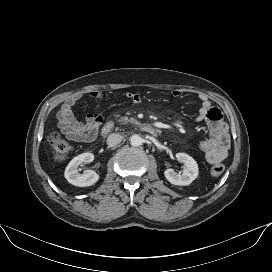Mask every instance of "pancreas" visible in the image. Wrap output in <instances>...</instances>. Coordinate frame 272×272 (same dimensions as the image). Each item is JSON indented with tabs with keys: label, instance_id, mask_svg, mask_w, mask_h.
Masks as SVG:
<instances>
[{
	"label": "pancreas",
	"instance_id": "cf45deb5",
	"mask_svg": "<svg viewBox=\"0 0 272 272\" xmlns=\"http://www.w3.org/2000/svg\"><path fill=\"white\" fill-rule=\"evenodd\" d=\"M119 117V116H118ZM117 121L120 123V124H126V123H128V122H130V123H134V122H136V120L133 118V117H127V116H125V117H119L118 119H117Z\"/></svg>",
	"mask_w": 272,
	"mask_h": 272
}]
</instances>
